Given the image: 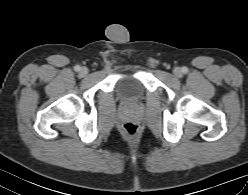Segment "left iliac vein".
<instances>
[{
  "label": "left iliac vein",
  "mask_w": 248,
  "mask_h": 195,
  "mask_svg": "<svg viewBox=\"0 0 248 195\" xmlns=\"http://www.w3.org/2000/svg\"><path fill=\"white\" fill-rule=\"evenodd\" d=\"M173 72H174V75L178 78L182 76V70L178 67L175 68Z\"/></svg>",
  "instance_id": "obj_1"
}]
</instances>
